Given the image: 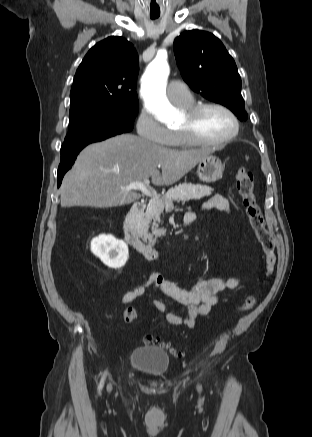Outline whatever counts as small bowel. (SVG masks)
Returning <instances> with one entry per match:
<instances>
[{"instance_id": "c3829d8e", "label": "small bowel", "mask_w": 312, "mask_h": 437, "mask_svg": "<svg viewBox=\"0 0 312 437\" xmlns=\"http://www.w3.org/2000/svg\"><path fill=\"white\" fill-rule=\"evenodd\" d=\"M203 209H217L228 212L230 204L223 195L216 194L204 203ZM195 219L196 214L193 212H188L184 216V220H189V223H192ZM238 283L239 280L235 277H211L199 280L189 288H184L165 279L159 273H152L142 284L125 292L122 296V303L125 305L130 304L147 294L150 289H158L169 298L185 305L187 315L183 317L174 311H168L167 304L159 298L153 300L154 308L160 312H166V321L169 324L194 328L199 317L210 313L212 307L218 301L219 293L237 287Z\"/></svg>"}]
</instances>
